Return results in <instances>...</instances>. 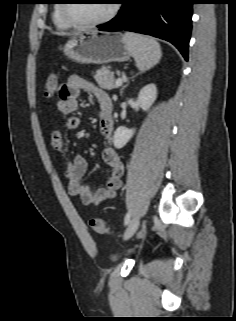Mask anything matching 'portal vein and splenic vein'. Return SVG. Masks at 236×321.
<instances>
[{"label": "portal vein and splenic vein", "instance_id": "obj_1", "mask_svg": "<svg viewBox=\"0 0 236 321\" xmlns=\"http://www.w3.org/2000/svg\"><path fill=\"white\" fill-rule=\"evenodd\" d=\"M124 80H125V77L124 78H117L116 86L117 87L121 86L123 84Z\"/></svg>", "mask_w": 236, "mask_h": 321}]
</instances>
